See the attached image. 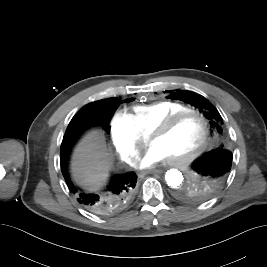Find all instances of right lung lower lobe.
I'll return each instance as SVG.
<instances>
[{
  "instance_id": "right-lung-lower-lobe-1",
  "label": "right lung lower lobe",
  "mask_w": 267,
  "mask_h": 267,
  "mask_svg": "<svg viewBox=\"0 0 267 267\" xmlns=\"http://www.w3.org/2000/svg\"><path fill=\"white\" fill-rule=\"evenodd\" d=\"M110 118L111 113L107 112L103 105L90 103L84 106L69 123L60 151L61 170L69 190L75 194L80 204L101 215L120 212L130 203L137 185L136 174L134 172L115 174L111 176L109 183L100 194L89 193L70 180L66 163L72 142L77 135L92 125H100L106 130Z\"/></svg>"
}]
</instances>
